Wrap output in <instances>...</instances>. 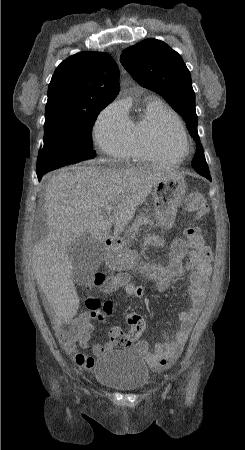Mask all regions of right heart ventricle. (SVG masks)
I'll return each mask as SVG.
<instances>
[{
  "mask_svg": "<svg viewBox=\"0 0 245 450\" xmlns=\"http://www.w3.org/2000/svg\"><path fill=\"white\" fill-rule=\"evenodd\" d=\"M165 118H175L181 123L178 115L159 97L147 95L143 100V109L136 119H130V151L128 157L133 162H174L168 153L160 150L155 144L157 124ZM182 124V123H181Z\"/></svg>",
  "mask_w": 245,
  "mask_h": 450,
  "instance_id": "e07e8e85",
  "label": "right heart ventricle"
}]
</instances>
